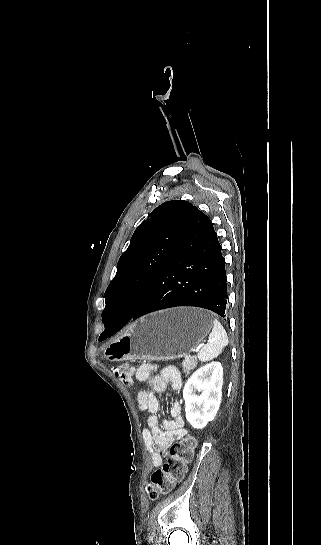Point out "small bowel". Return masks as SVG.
I'll return each mask as SVG.
<instances>
[{"instance_id": "obj_1", "label": "small bowel", "mask_w": 321, "mask_h": 545, "mask_svg": "<svg viewBox=\"0 0 321 545\" xmlns=\"http://www.w3.org/2000/svg\"><path fill=\"white\" fill-rule=\"evenodd\" d=\"M157 370V365L147 363L141 365L136 372L139 408L147 414V426L143 429L142 435L154 467L161 465L163 455L167 453L170 445L187 434L182 417V406L179 402L173 403L169 418L162 421V427L159 425L160 402L156 393L166 391L168 386L175 390L179 389L181 375L172 366L165 367L158 374L153 375ZM146 381L150 382L152 390L142 386Z\"/></svg>"}]
</instances>
